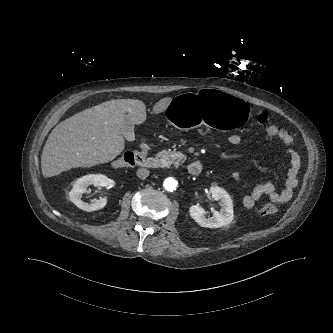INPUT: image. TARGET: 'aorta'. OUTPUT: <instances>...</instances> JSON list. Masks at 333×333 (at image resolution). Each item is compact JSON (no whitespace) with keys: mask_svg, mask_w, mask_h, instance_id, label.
I'll return each instance as SVG.
<instances>
[{"mask_svg":"<svg viewBox=\"0 0 333 333\" xmlns=\"http://www.w3.org/2000/svg\"><path fill=\"white\" fill-rule=\"evenodd\" d=\"M177 185H178V182L172 177L166 178L163 183V186L167 191L175 190Z\"/></svg>","mask_w":333,"mask_h":333,"instance_id":"obj_1","label":"aorta"}]
</instances>
